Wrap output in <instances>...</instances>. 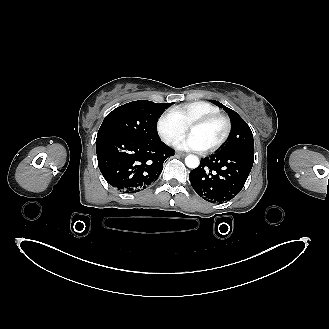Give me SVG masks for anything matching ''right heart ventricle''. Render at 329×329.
I'll use <instances>...</instances> for the list:
<instances>
[{"label": "right heart ventricle", "instance_id": "obj_1", "mask_svg": "<svg viewBox=\"0 0 329 329\" xmlns=\"http://www.w3.org/2000/svg\"><path fill=\"white\" fill-rule=\"evenodd\" d=\"M171 111L184 126L199 117L220 112L216 105L206 101L188 102L172 108Z\"/></svg>", "mask_w": 329, "mask_h": 329}]
</instances>
